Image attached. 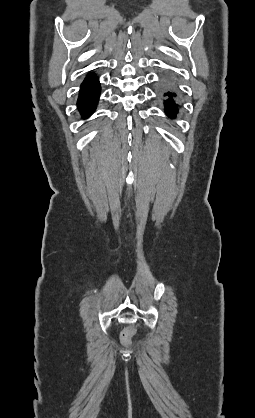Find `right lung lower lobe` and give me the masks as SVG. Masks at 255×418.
Returning a JSON list of instances; mask_svg holds the SVG:
<instances>
[{
    "instance_id": "98d812e1",
    "label": "right lung lower lobe",
    "mask_w": 255,
    "mask_h": 418,
    "mask_svg": "<svg viewBox=\"0 0 255 418\" xmlns=\"http://www.w3.org/2000/svg\"><path fill=\"white\" fill-rule=\"evenodd\" d=\"M100 96V83L95 74H89L80 87L77 106L83 118L89 117L95 110Z\"/></svg>"
}]
</instances>
